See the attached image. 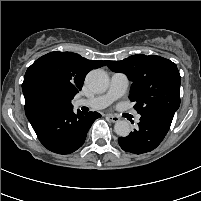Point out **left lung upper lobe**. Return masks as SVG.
<instances>
[{
  "label": "left lung upper lobe",
  "mask_w": 201,
  "mask_h": 201,
  "mask_svg": "<svg viewBox=\"0 0 201 201\" xmlns=\"http://www.w3.org/2000/svg\"><path fill=\"white\" fill-rule=\"evenodd\" d=\"M114 72L125 73L131 80L130 99L141 116H174L180 106L181 77L172 61L156 55H133L122 61H107Z\"/></svg>",
  "instance_id": "left-lung-upper-lobe-1"
}]
</instances>
